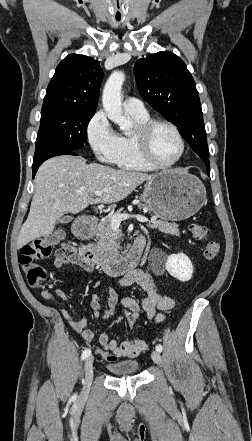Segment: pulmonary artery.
Instances as JSON below:
<instances>
[{
	"label": "pulmonary artery",
	"instance_id": "1",
	"mask_svg": "<svg viewBox=\"0 0 252 441\" xmlns=\"http://www.w3.org/2000/svg\"><path fill=\"white\" fill-rule=\"evenodd\" d=\"M123 108L128 114L131 115H147V110L144 104L139 99L133 97L125 99V101L123 102Z\"/></svg>",
	"mask_w": 252,
	"mask_h": 441
}]
</instances>
